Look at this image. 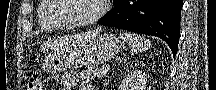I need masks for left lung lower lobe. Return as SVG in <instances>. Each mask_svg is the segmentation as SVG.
<instances>
[{
	"label": "left lung lower lobe",
	"mask_w": 216,
	"mask_h": 90,
	"mask_svg": "<svg viewBox=\"0 0 216 90\" xmlns=\"http://www.w3.org/2000/svg\"><path fill=\"white\" fill-rule=\"evenodd\" d=\"M182 0H117L97 24L157 36L178 50Z\"/></svg>",
	"instance_id": "0a47b994"
}]
</instances>
